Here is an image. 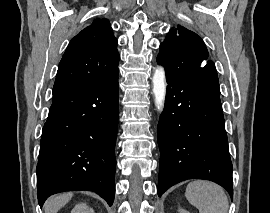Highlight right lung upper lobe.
<instances>
[{"label":"right lung upper lobe","instance_id":"cb5924a9","mask_svg":"<svg viewBox=\"0 0 270 213\" xmlns=\"http://www.w3.org/2000/svg\"><path fill=\"white\" fill-rule=\"evenodd\" d=\"M117 40L107 19H96L69 43L58 67L53 95L112 79L120 60Z\"/></svg>","mask_w":270,"mask_h":213}]
</instances>
